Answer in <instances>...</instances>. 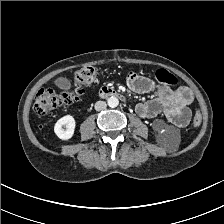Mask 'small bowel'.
Segmentation results:
<instances>
[{
    "mask_svg": "<svg viewBox=\"0 0 224 224\" xmlns=\"http://www.w3.org/2000/svg\"><path fill=\"white\" fill-rule=\"evenodd\" d=\"M126 82L128 87L136 93H147L154 89L152 82L134 72L128 74ZM55 85L64 91L70 90V82L66 78L57 79ZM193 98V91L188 87L181 86L172 89L161 86L157 88L154 99L136 106V112L143 118H153L163 113L172 124L182 128L189 123L191 114L188 105Z\"/></svg>",
    "mask_w": 224,
    "mask_h": 224,
    "instance_id": "obj_1",
    "label": "small bowel"
}]
</instances>
